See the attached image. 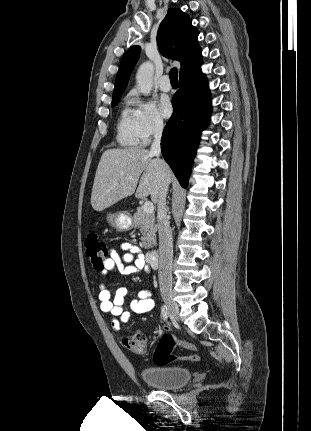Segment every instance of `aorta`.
Returning a JSON list of instances; mask_svg holds the SVG:
<instances>
[{"label": "aorta", "instance_id": "aorta-1", "mask_svg": "<svg viewBox=\"0 0 311 431\" xmlns=\"http://www.w3.org/2000/svg\"><path fill=\"white\" fill-rule=\"evenodd\" d=\"M153 76L154 66L151 62H144V64L139 66L136 74V84L139 92H141L143 96H149L153 88Z\"/></svg>", "mask_w": 311, "mask_h": 431}]
</instances>
